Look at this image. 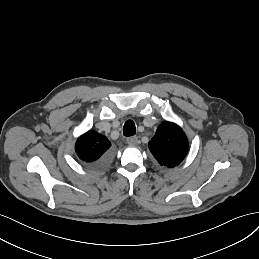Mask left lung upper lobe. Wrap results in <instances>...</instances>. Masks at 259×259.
I'll return each mask as SVG.
<instances>
[{"label": "left lung upper lobe", "instance_id": "5c2ea615", "mask_svg": "<svg viewBox=\"0 0 259 259\" xmlns=\"http://www.w3.org/2000/svg\"><path fill=\"white\" fill-rule=\"evenodd\" d=\"M148 147L160 165L173 168L185 158L188 140L179 126L165 121L157 128Z\"/></svg>", "mask_w": 259, "mask_h": 259}]
</instances>
